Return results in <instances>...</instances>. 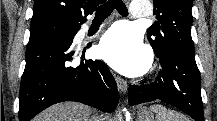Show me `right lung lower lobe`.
Wrapping results in <instances>:
<instances>
[{
	"label": "right lung lower lobe",
	"instance_id": "obj_1",
	"mask_svg": "<svg viewBox=\"0 0 217 121\" xmlns=\"http://www.w3.org/2000/svg\"><path fill=\"white\" fill-rule=\"evenodd\" d=\"M79 28L75 34L79 31ZM74 35L29 41L19 93V120L30 121L52 104L77 101L112 112L119 93L114 77L100 60H86L73 44Z\"/></svg>",
	"mask_w": 217,
	"mask_h": 121
}]
</instances>
